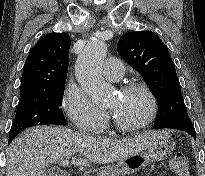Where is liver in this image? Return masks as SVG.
<instances>
[{
  "mask_svg": "<svg viewBox=\"0 0 205 176\" xmlns=\"http://www.w3.org/2000/svg\"><path fill=\"white\" fill-rule=\"evenodd\" d=\"M166 136L165 131H150L129 139H103L63 127L38 126L11 143L6 176H47L49 164L71 157V163L81 168L111 163L144 151ZM76 153L80 156L74 157Z\"/></svg>",
  "mask_w": 205,
  "mask_h": 176,
  "instance_id": "1",
  "label": "liver"
}]
</instances>
